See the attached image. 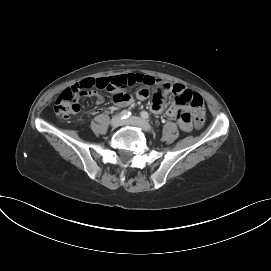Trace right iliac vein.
Masks as SVG:
<instances>
[{
  "instance_id": "obj_1",
  "label": "right iliac vein",
  "mask_w": 271,
  "mask_h": 271,
  "mask_svg": "<svg viewBox=\"0 0 271 271\" xmlns=\"http://www.w3.org/2000/svg\"><path fill=\"white\" fill-rule=\"evenodd\" d=\"M123 121L121 119V116L120 115H116L114 116L112 119H111V126L112 127H119L120 125H122Z\"/></svg>"
}]
</instances>
